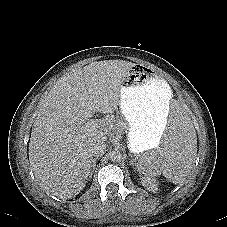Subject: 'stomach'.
I'll list each match as a JSON object with an SVG mask.
<instances>
[{
    "label": "stomach",
    "instance_id": "0dacf381",
    "mask_svg": "<svg viewBox=\"0 0 227 227\" xmlns=\"http://www.w3.org/2000/svg\"><path fill=\"white\" fill-rule=\"evenodd\" d=\"M171 98L169 84L146 66L135 64L127 69L119 106L127 122L129 149L138 157L165 136Z\"/></svg>",
    "mask_w": 227,
    "mask_h": 227
}]
</instances>
